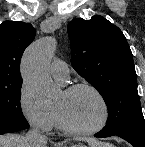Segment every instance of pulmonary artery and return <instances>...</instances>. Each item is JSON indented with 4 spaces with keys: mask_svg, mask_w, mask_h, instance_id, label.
I'll return each instance as SVG.
<instances>
[{
    "mask_svg": "<svg viewBox=\"0 0 145 147\" xmlns=\"http://www.w3.org/2000/svg\"><path fill=\"white\" fill-rule=\"evenodd\" d=\"M51 74L52 76L61 81L66 82L69 77L68 65L65 61L61 59H55L51 64Z\"/></svg>",
    "mask_w": 145,
    "mask_h": 147,
    "instance_id": "obj_1",
    "label": "pulmonary artery"
}]
</instances>
